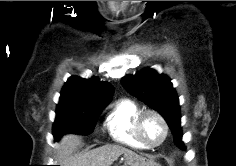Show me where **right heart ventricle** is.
Here are the masks:
<instances>
[{"label":"right heart ventricle","mask_w":236,"mask_h":166,"mask_svg":"<svg viewBox=\"0 0 236 166\" xmlns=\"http://www.w3.org/2000/svg\"><path fill=\"white\" fill-rule=\"evenodd\" d=\"M143 109L131 99L116 101L105 118V127L116 143L133 148L145 149L135 131V121Z\"/></svg>","instance_id":"e07e8e85"}]
</instances>
